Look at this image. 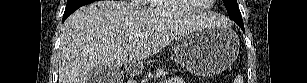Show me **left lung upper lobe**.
<instances>
[{
	"mask_svg": "<svg viewBox=\"0 0 307 83\" xmlns=\"http://www.w3.org/2000/svg\"><path fill=\"white\" fill-rule=\"evenodd\" d=\"M223 2L225 4L229 17L237 24H243L237 0H223Z\"/></svg>",
	"mask_w": 307,
	"mask_h": 83,
	"instance_id": "obj_1",
	"label": "left lung upper lobe"
}]
</instances>
